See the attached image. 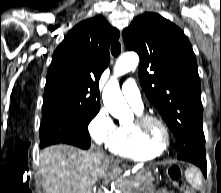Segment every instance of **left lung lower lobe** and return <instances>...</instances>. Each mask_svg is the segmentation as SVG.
Masks as SVG:
<instances>
[{
	"label": "left lung lower lobe",
	"instance_id": "0a47b994",
	"mask_svg": "<svg viewBox=\"0 0 221 193\" xmlns=\"http://www.w3.org/2000/svg\"><path fill=\"white\" fill-rule=\"evenodd\" d=\"M178 159L195 164L202 170L203 174L206 176L207 163L205 153V140L185 145L178 155Z\"/></svg>",
	"mask_w": 221,
	"mask_h": 193
}]
</instances>
